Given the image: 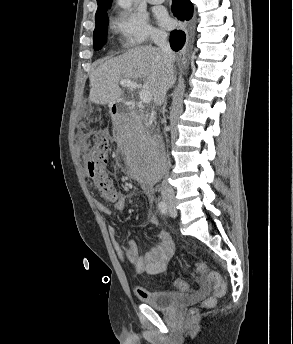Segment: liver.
<instances>
[{
    "label": "liver",
    "mask_w": 293,
    "mask_h": 344,
    "mask_svg": "<svg viewBox=\"0 0 293 344\" xmlns=\"http://www.w3.org/2000/svg\"><path fill=\"white\" fill-rule=\"evenodd\" d=\"M122 79L143 80L144 88L159 105L162 95L174 84L175 75L174 70L170 77L166 75L159 48L138 46L97 67L90 75L89 100L101 105L122 100L124 90L119 86Z\"/></svg>",
    "instance_id": "1"
}]
</instances>
